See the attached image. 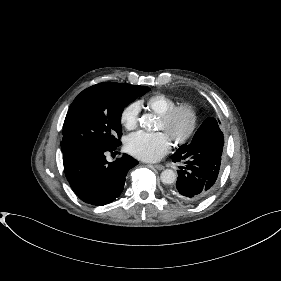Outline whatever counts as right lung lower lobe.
Masks as SVG:
<instances>
[{
    "mask_svg": "<svg viewBox=\"0 0 281 281\" xmlns=\"http://www.w3.org/2000/svg\"><path fill=\"white\" fill-rule=\"evenodd\" d=\"M120 145L83 150L63 161L70 186L85 203L103 206L115 200L123 191L125 177L138 161L124 154L115 162L108 163L105 152L113 151Z\"/></svg>",
    "mask_w": 281,
    "mask_h": 281,
    "instance_id": "1",
    "label": "right lung lower lobe"
}]
</instances>
